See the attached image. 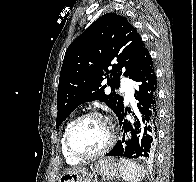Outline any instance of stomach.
I'll use <instances>...</instances> for the list:
<instances>
[{
  "label": "stomach",
  "instance_id": "obj_1",
  "mask_svg": "<svg viewBox=\"0 0 196 182\" xmlns=\"http://www.w3.org/2000/svg\"><path fill=\"white\" fill-rule=\"evenodd\" d=\"M92 170L106 179H114L119 176V164L113 158H101L92 166ZM58 182H91V175L86 169L62 174Z\"/></svg>",
  "mask_w": 196,
  "mask_h": 182
}]
</instances>
